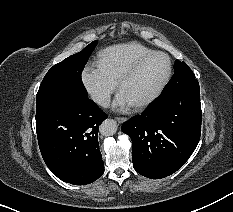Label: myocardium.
<instances>
[{
    "label": "myocardium",
    "instance_id": "myocardium-1",
    "mask_svg": "<svg viewBox=\"0 0 233 212\" xmlns=\"http://www.w3.org/2000/svg\"><path fill=\"white\" fill-rule=\"evenodd\" d=\"M155 55H161L164 56L167 60V72L162 79V81L158 84V86L155 88V90L147 96L145 99L142 101L133 104L135 108H144L150 105L152 102H154L157 97L161 94L167 83L169 82V79L172 74V61L171 58L169 57L168 54L162 51H151L140 58H138L122 75L118 82L119 89L122 90L123 86L127 81H129L139 70V68L142 66V64L148 60L150 57L155 56Z\"/></svg>",
    "mask_w": 233,
    "mask_h": 212
}]
</instances>
